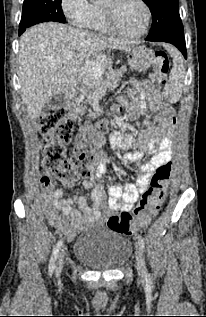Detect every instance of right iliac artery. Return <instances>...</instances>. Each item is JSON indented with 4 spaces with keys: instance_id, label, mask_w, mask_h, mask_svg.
Returning a JSON list of instances; mask_svg holds the SVG:
<instances>
[{
    "instance_id": "1",
    "label": "right iliac artery",
    "mask_w": 206,
    "mask_h": 317,
    "mask_svg": "<svg viewBox=\"0 0 206 317\" xmlns=\"http://www.w3.org/2000/svg\"><path fill=\"white\" fill-rule=\"evenodd\" d=\"M61 246H62V240L58 241V243L56 244V246L53 249V252H52V255L50 258V262H49V274H50V276L53 274V271L55 269V262L57 260Z\"/></svg>"
}]
</instances>
